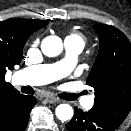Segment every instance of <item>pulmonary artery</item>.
<instances>
[{
  "mask_svg": "<svg viewBox=\"0 0 131 131\" xmlns=\"http://www.w3.org/2000/svg\"><path fill=\"white\" fill-rule=\"evenodd\" d=\"M84 44L67 39L65 40L66 57L54 64L36 65L17 72V79L21 84L44 85L66 76L73 68L76 57L82 52ZM85 108H92L93 97H87L81 101Z\"/></svg>",
  "mask_w": 131,
  "mask_h": 131,
  "instance_id": "1",
  "label": "pulmonary artery"
}]
</instances>
